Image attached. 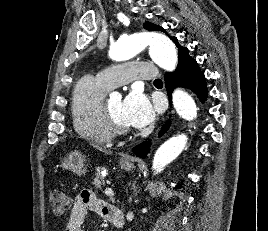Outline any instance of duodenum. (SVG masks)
Here are the masks:
<instances>
[{
	"mask_svg": "<svg viewBox=\"0 0 268 231\" xmlns=\"http://www.w3.org/2000/svg\"><path fill=\"white\" fill-rule=\"evenodd\" d=\"M110 220L117 227H121L124 224L123 214L120 209H113L112 215L110 216Z\"/></svg>",
	"mask_w": 268,
	"mask_h": 231,
	"instance_id": "1",
	"label": "duodenum"
}]
</instances>
